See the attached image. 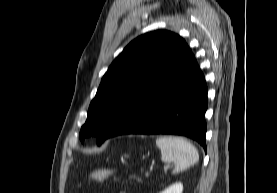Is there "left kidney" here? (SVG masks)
Segmentation results:
<instances>
[{
  "label": "left kidney",
  "instance_id": "obj_1",
  "mask_svg": "<svg viewBox=\"0 0 277 193\" xmlns=\"http://www.w3.org/2000/svg\"><path fill=\"white\" fill-rule=\"evenodd\" d=\"M182 191H183V184L179 182L169 186L167 189H165L160 193H182Z\"/></svg>",
  "mask_w": 277,
  "mask_h": 193
}]
</instances>
